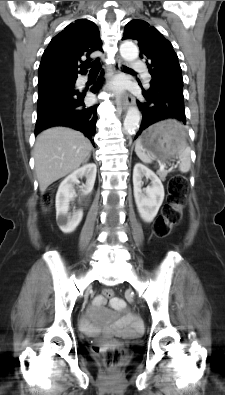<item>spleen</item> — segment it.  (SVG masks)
Listing matches in <instances>:
<instances>
[{"label": "spleen", "mask_w": 225, "mask_h": 395, "mask_svg": "<svg viewBox=\"0 0 225 395\" xmlns=\"http://www.w3.org/2000/svg\"><path fill=\"white\" fill-rule=\"evenodd\" d=\"M135 152L137 156L140 158L141 161L144 163H151L152 162V156L146 152L142 145L140 138L137 140L136 145H135ZM191 167V160H190V148L186 146V144L183 145L182 149L179 152V169L181 172H188Z\"/></svg>", "instance_id": "1"}]
</instances>
